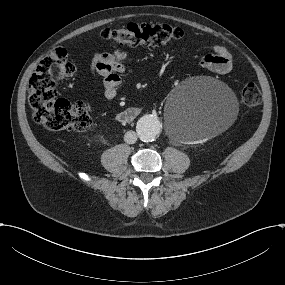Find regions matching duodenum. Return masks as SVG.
I'll return each mask as SVG.
<instances>
[{"label":"duodenum","mask_w":285,"mask_h":285,"mask_svg":"<svg viewBox=\"0 0 285 285\" xmlns=\"http://www.w3.org/2000/svg\"><path fill=\"white\" fill-rule=\"evenodd\" d=\"M140 114V109L137 107H131L124 111H121L117 115V120L122 124H127L134 121Z\"/></svg>","instance_id":"obj_1"}]
</instances>
